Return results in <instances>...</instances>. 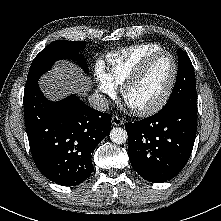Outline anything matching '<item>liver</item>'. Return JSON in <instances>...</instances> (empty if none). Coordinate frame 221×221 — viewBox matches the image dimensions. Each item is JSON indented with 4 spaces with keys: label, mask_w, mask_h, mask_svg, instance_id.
<instances>
[{
    "label": "liver",
    "mask_w": 221,
    "mask_h": 221,
    "mask_svg": "<svg viewBox=\"0 0 221 221\" xmlns=\"http://www.w3.org/2000/svg\"><path fill=\"white\" fill-rule=\"evenodd\" d=\"M44 93L51 99L64 98L70 91L86 96L91 88V81L67 61L57 62L54 68L39 81Z\"/></svg>",
    "instance_id": "1"
}]
</instances>
